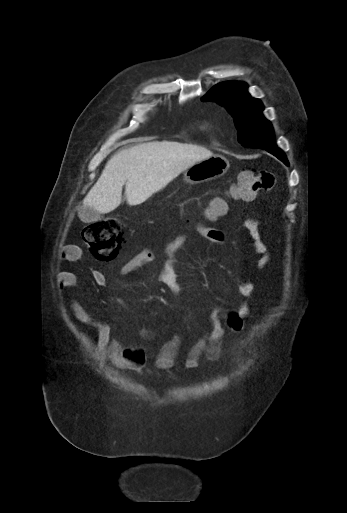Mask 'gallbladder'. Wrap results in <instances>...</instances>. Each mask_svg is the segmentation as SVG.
Here are the masks:
<instances>
[{
	"label": "gallbladder",
	"instance_id": "gallbladder-1",
	"mask_svg": "<svg viewBox=\"0 0 347 513\" xmlns=\"http://www.w3.org/2000/svg\"><path fill=\"white\" fill-rule=\"evenodd\" d=\"M78 214H79L80 219L84 223H91V222L97 221L101 218L100 214L97 211L90 209V208L81 209V210H79Z\"/></svg>",
	"mask_w": 347,
	"mask_h": 513
}]
</instances>
